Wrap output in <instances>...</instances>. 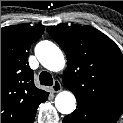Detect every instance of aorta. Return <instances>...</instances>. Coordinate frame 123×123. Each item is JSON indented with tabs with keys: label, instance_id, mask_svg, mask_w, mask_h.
Here are the masks:
<instances>
[{
	"label": "aorta",
	"instance_id": "obj_1",
	"mask_svg": "<svg viewBox=\"0 0 123 123\" xmlns=\"http://www.w3.org/2000/svg\"><path fill=\"white\" fill-rule=\"evenodd\" d=\"M35 53L40 63L50 71L59 72L65 66L62 51L50 41L39 42ZM55 106L60 113L68 115L76 108L75 96L70 91H62L55 98Z\"/></svg>",
	"mask_w": 123,
	"mask_h": 123
}]
</instances>
